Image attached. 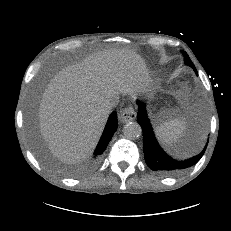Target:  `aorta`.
Here are the masks:
<instances>
[{"label":"aorta","instance_id":"1","mask_svg":"<svg viewBox=\"0 0 231 231\" xmlns=\"http://www.w3.org/2000/svg\"><path fill=\"white\" fill-rule=\"evenodd\" d=\"M123 134L127 139L135 140L142 134V128L137 122H129L123 128Z\"/></svg>","mask_w":231,"mask_h":231}]
</instances>
